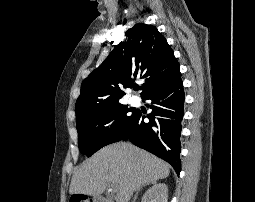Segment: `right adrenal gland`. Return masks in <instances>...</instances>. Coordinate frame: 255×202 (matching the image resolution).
Listing matches in <instances>:
<instances>
[{"instance_id":"obj_1","label":"right adrenal gland","mask_w":255,"mask_h":202,"mask_svg":"<svg viewBox=\"0 0 255 202\" xmlns=\"http://www.w3.org/2000/svg\"><path fill=\"white\" fill-rule=\"evenodd\" d=\"M155 183H156V181L150 182V183H146L145 185H143V187L148 186V185H150V184H155ZM143 187H141L140 189H138V191H137V193H136V195H135V197H134V201L136 200L139 191H140Z\"/></svg>"}]
</instances>
